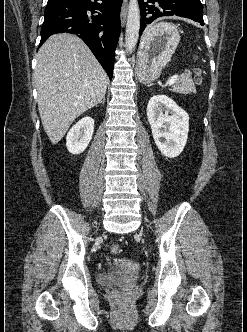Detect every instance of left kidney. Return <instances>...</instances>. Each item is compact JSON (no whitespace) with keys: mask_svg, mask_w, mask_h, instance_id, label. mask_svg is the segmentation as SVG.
<instances>
[{"mask_svg":"<svg viewBox=\"0 0 247 332\" xmlns=\"http://www.w3.org/2000/svg\"><path fill=\"white\" fill-rule=\"evenodd\" d=\"M147 118L160 152L169 158L179 156L188 139V113L166 95H155L148 102Z\"/></svg>","mask_w":247,"mask_h":332,"instance_id":"obj_1","label":"left kidney"}]
</instances>
